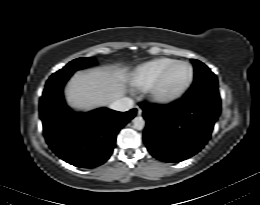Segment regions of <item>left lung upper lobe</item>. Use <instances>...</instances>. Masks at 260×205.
Instances as JSON below:
<instances>
[{
  "label": "left lung upper lobe",
  "mask_w": 260,
  "mask_h": 205,
  "mask_svg": "<svg viewBox=\"0 0 260 205\" xmlns=\"http://www.w3.org/2000/svg\"><path fill=\"white\" fill-rule=\"evenodd\" d=\"M195 69L194 83L185 94L187 96H204L220 101L218 81L214 73L198 60L192 59Z\"/></svg>",
  "instance_id": "obj_1"
}]
</instances>
